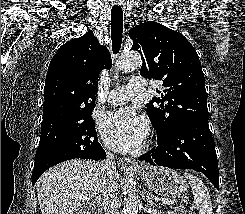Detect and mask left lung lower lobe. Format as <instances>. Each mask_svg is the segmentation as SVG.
<instances>
[{"label":"left lung lower lobe","instance_id":"0a47b994","mask_svg":"<svg viewBox=\"0 0 245 214\" xmlns=\"http://www.w3.org/2000/svg\"><path fill=\"white\" fill-rule=\"evenodd\" d=\"M157 141L158 146L141 160L153 166L202 172L218 189V162L208 121H189L169 137H157Z\"/></svg>","mask_w":245,"mask_h":214}]
</instances>
